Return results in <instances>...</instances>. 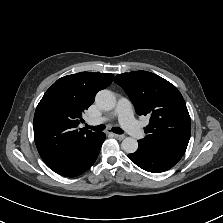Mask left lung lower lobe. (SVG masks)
Segmentation results:
<instances>
[{"label":"left lung lower lobe","instance_id":"1","mask_svg":"<svg viewBox=\"0 0 223 223\" xmlns=\"http://www.w3.org/2000/svg\"><path fill=\"white\" fill-rule=\"evenodd\" d=\"M138 150L128 154L129 159L137 166L152 173H159L172 168L181 157L169 154L138 142Z\"/></svg>","mask_w":223,"mask_h":223}]
</instances>
